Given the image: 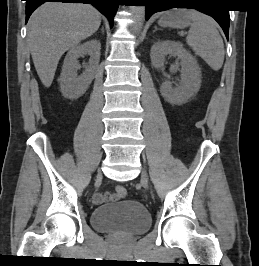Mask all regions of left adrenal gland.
<instances>
[{
  "instance_id": "a2214340",
  "label": "left adrenal gland",
  "mask_w": 259,
  "mask_h": 266,
  "mask_svg": "<svg viewBox=\"0 0 259 266\" xmlns=\"http://www.w3.org/2000/svg\"><path fill=\"white\" fill-rule=\"evenodd\" d=\"M157 30H159V29H158L157 27H155V30H154V32H155V31H157Z\"/></svg>"
}]
</instances>
